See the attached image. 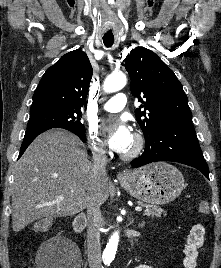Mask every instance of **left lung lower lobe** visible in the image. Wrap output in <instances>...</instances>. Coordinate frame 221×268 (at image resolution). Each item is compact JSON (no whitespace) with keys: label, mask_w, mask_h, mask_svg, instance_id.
<instances>
[{"label":"left lung lower lobe","mask_w":221,"mask_h":268,"mask_svg":"<svg viewBox=\"0 0 221 268\" xmlns=\"http://www.w3.org/2000/svg\"><path fill=\"white\" fill-rule=\"evenodd\" d=\"M145 143L144 153L131 162L133 168L156 161H173L195 167L209 179L208 166L192 124L162 126Z\"/></svg>","instance_id":"left-lung-lower-lobe-1"}]
</instances>
